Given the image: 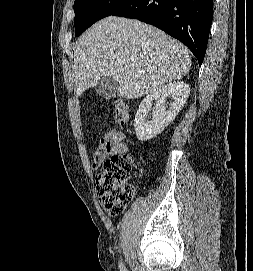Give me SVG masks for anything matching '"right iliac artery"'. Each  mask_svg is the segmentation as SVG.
<instances>
[{
  "instance_id": "82829eb1",
  "label": "right iliac artery",
  "mask_w": 253,
  "mask_h": 271,
  "mask_svg": "<svg viewBox=\"0 0 253 271\" xmlns=\"http://www.w3.org/2000/svg\"><path fill=\"white\" fill-rule=\"evenodd\" d=\"M120 270H121V271H127V270L125 269V267L123 266L122 263H120Z\"/></svg>"
}]
</instances>
